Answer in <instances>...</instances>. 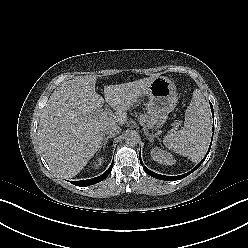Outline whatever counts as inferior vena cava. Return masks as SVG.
Wrapping results in <instances>:
<instances>
[{"label":"inferior vena cava","mask_w":248,"mask_h":248,"mask_svg":"<svg viewBox=\"0 0 248 248\" xmlns=\"http://www.w3.org/2000/svg\"><path fill=\"white\" fill-rule=\"evenodd\" d=\"M120 132H121L120 126H118L115 123L107 125L104 129V133L111 137L118 135Z\"/></svg>","instance_id":"obj_1"}]
</instances>
